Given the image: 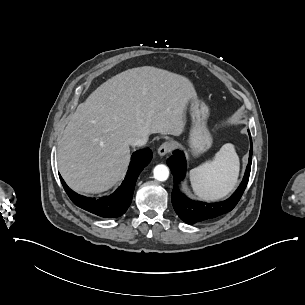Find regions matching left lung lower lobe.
I'll return each instance as SVG.
<instances>
[{
  "label": "left lung lower lobe",
  "instance_id": "obj_1",
  "mask_svg": "<svg viewBox=\"0 0 305 305\" xmlns=\"http://www.w3.org/2000/svg\"><path fill=\"white\" fill-rule=\"evenodd\" d=\"M250 136V152L249 162L245 171V176L239 188L232 194L231 197L219 203L208 204L190 200L178 190V184L185 177L186 160L183 152L174 151L173 156L167 160V165L170 167L174 177V187L171 194L173 207L178 216L188 224H195L200 221L215 218L224 213L231 211L239 202L249 180L251 163H252V140Z\"/></svg>",
  "mask_w": 305,
  "mask_h": 305
}]
</instances>
